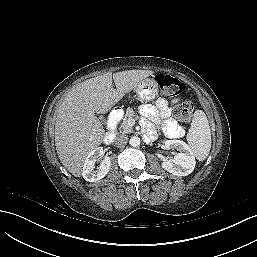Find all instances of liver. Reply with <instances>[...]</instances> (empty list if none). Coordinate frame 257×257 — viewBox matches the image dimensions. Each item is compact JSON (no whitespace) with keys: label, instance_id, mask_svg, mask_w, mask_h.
I'll list each match as a JSON object with an SVG mask.
<instances>
[{"label":"liver","instance_id":"1","mask_svg":"<svg viewBox=\"0 0 257 257\" xmlns=\"http://www.w3.org/2000/svg\"><path fill=\"white\" fill-rule=\"evenodd\" d=\"M153 73L151 70H127L113 75L108 72L68 92L58 109L55 145L61 163L72 175L80 177L86 157L104 140L105 130L96 114L107 113Z\"/></svg>","mask_w":257,"mask_h":257}]
</instances>
